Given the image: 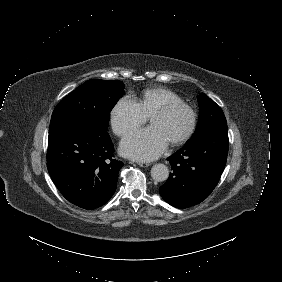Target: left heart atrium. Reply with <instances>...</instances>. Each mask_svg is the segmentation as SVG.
I'll use <instances>...</instances> for the list:
<instances>
[{"label": "left heart atrium", "mask_w": 282, "mask_h": 282, "mask_svg": "<svg viewBox=\"0 0 282 282\" xmlns=\"http://www.w3.org/2000/svg\"><path fill=\"white\" fill-rule=\"evenodd\" d=\"M167 143L163 132L158 127L151 126L127 134L121 143V150L136 160H152L165 150Z\"/></svg>", "instance_id": "obj_1"}]
</instances>
